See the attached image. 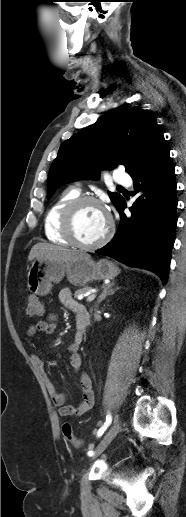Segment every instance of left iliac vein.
<instances>
[{
	"label": "left iliac vein",
	"instance_id": "obj_1",
	"mask_svg": "<svg viewBox=\"0 0 186 517\" xmlns=\"http://www.w3.org/2000/svg\"><path fill=\"white\" fill-rule=\"evenodd\" d=\"M121 431V421L116 419L110 429L106 432L101 442L99 443L96 452L92 456V459L99 456L111 443V441L116 437V435Z\"/></svg>",
	"mask_w": 186,
	"mask_h": 517
}]
</instances>
